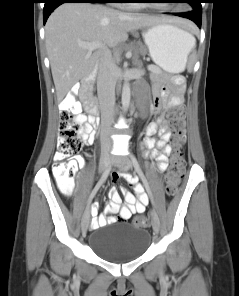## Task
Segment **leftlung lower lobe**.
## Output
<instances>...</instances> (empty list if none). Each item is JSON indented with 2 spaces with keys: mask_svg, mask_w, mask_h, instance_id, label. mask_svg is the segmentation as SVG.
I'll list each match as a JSON object with an SVG mask.
<instances>
[{
  "mask_svg": "<svg viewBox=\"0 0 239 296\" xmlns=\"http://www.w3.org/2000/svg\"><path fill=\"white\" fill-rule=\"evenodd\" d=\"M175 15L180 16V17H184V18H188V19L192 20L193 22H195L199 28H201L202 13H198V12L191 9L188 12L176 13Z\"/></svg>",
  "mask_w": 239,
  "mask_h": 296,
  "instance_id": "left-lung-lower-lobe-1",
  "label": "left lung lower lobe"
}]
</instances>
